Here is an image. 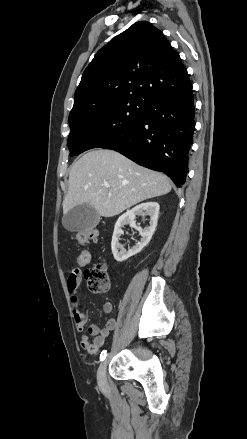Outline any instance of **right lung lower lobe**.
I'll return each mask as SVG.
<instances>
[{
  "label": "right lung lower lobe",
  "mask_w": 247,
  "mask_h": 439,
  "mask_svg": "<svg viewBox=\"0 0 247 439\" xmlns=\"http://www.w3.org/2000/svg\"><path fill=\"white\" fill-rule=\"evenodd\" d=\"M192 86L147 105L141 121L107 149L168 175L181 187L195 128Z\"/></svg>",
  "instance_id": "1"
}]
</instances>
